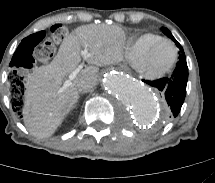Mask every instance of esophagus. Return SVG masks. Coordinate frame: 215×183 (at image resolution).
Returning a JSON list of instances; mask_svg holds the SVG:
<instances>
[{
  "label": "esophagus",
  "instance_id": "1",
  "mask_svg": "<svg viewBox=\"0 0 215 183\" xmlns=\"http://www.w3.org/2000/svg\"><path fill=\"white\" fill-rule=\"evenodd\" d=\"M122 67H123V68H126V66H125V65H122Z\"/></svg>",
  "mask_w": 215,
  "mask_h": 183
}]
</instances>
